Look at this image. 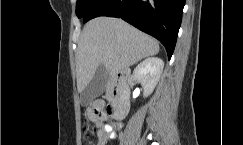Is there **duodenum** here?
Returning <instances> with one entry per match:
<instances>
[{
	"label": "duodenum",
	"mask_w": 243,
	"mask_h": 145,
	"mask_svg": "<svg viewBox=\"0 0 243 145\" xmlns=\"http://www.w3.org/2000/svg\"><path fill=\"white\" fill-rule=\"evenodd\" d=\"M128 79L129 72L126 70H119L113 76V88L107 112L116 120L124 119L128 113L130 95Z\"/></svg>",
	"instance_id": "410a0bca"
}]
</instances>
